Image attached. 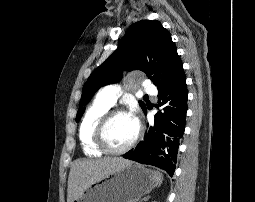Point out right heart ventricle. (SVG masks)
Listing matches in <instances>:
<instances>
[{
  "mask_svg": "<svg viewBox=\"0 0 255 202\" xmlns=\"http://www.w3.org/2000/svg\"><path fill=\"white\" fill-rule=\"evenodd\" d=\"M110 107L97 97L82 118L79 127V139L84 153L88 156L97 157L103 154V151L94 142V132L100 118Z\"/></svg>",
  "mask_w": 255,
  "mask_h": 202,
  "instance_id": "e07e8e85",
  "label": "right heart ventricle"
}]
</instances>
